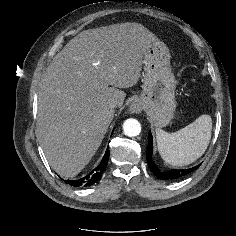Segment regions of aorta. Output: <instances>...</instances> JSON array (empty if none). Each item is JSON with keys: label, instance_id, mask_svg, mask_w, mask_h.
Returning a JSON list of instances; mask_svg holds the SVG:
<instances>
[{"label": "aorta", "instance_id": "1", "mask_svg": "<svg viewBox=\"0 0 236 236\" xmlns=\"http://www.w3.org/2000/svg\"><path fill=\"white\" fill-rule=\"evenodd\" d=\"M123 131L128 137H135L141 132V124L136 119H127L123 124Z\"/></svg>", "mask_w": 236, "mask_h": 236}]
</instances>
